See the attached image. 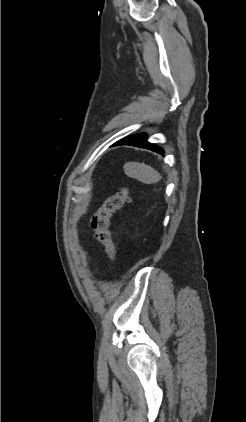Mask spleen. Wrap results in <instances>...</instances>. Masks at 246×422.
Listing matches in <instances>:
<instances>
[{
	"mask_svg": "<svg viewBox=\"0 0 246 422\" xmlns=\"http://www.w3.org/2000/svg\"><path fill=\"white\" fill-rule=\"evenodd\" d=\"M124 172L128 177L134 178L144 184H153L161 180V175L151 166L139 162L124 164Z\"/></svg>",
	"mask_w": 246,
	"mask_h": 422,
	"instance_id": "obj_1",
	"label": "spleen"
}]
</instances>
